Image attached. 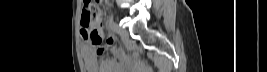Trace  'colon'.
Returning a JSON list of instances; mask_svg holds the SVG:
<instances>
[{
  "instance_id": "obj_1",
  "label": "colon",
  "mask_w": 267,
  "mask_h": 72,
  "mask_svg": "<svg viewBox=\"0 0 267 72\" xmlns=\"http://www.w3.org/2000/svg\"><path fill=\"white\" fill-rule=\"evenodd\" d=\"M102 15L103 10L97 1H84L81 16L82 35L97 48L98 53L103 50Z\"/></svg>"
}]
</instances>
